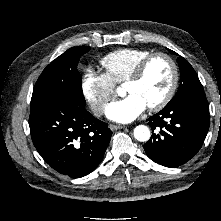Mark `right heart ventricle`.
<instances>
[{"label": "right heart ventricle", "instance_id": "1", "mask_svg": "<svg viewBox=\"0 0 221 221\" xmlns=\"http://www.w3.org/2000/svg\"><path fill=\"white\" fill-rule=\"evenodd\" d=\"M151 53L146 49L122 48L104 56L101 65L114 83H122L132 74L137 64Z\"/></svg>", "mask_w": 221, "mask_h": 221}]
</instances>
